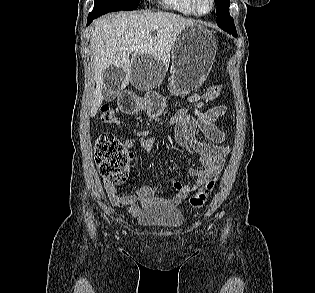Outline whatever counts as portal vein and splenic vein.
I'll list each match as a JSON object with an SVG mask.
<instances>
[{"mask_svg":"<svg viewBox=\"0 0 315 293\" xmlns=\"http://www.w3.org/2000/svg\"><path fill=\"white\" fill-rule=\"evenodd\" d=\"M135 48H136L135 45H132V46H130L129 49H130L131 51H133V50H135Z\"/></svg>","mask_w":315,"mask_h":293,"instance_id":"portal-vein-and-splenic-vein-1","label":"portal vein and splenic vein"}]
</instances>
